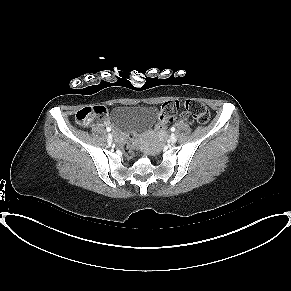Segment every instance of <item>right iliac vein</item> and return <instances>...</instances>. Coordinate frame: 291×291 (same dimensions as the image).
I'll return each mask as SVG.
<instances>
[{
    "mask_svg": "<svg viewBox=\"0 0 291 291\" xmlns=\"http://www.w3.org/2000/svg\"><path fill=\"white\" fill-rule=\"evenodd\" d=\"M107 141H108L109 143L112 142V136H111V134L108 135V137H107Z\"/></svg>",
    "mask_w": 291,
    "mask_h": 291,
    "instance_id": "obj_1",
    "label": "right iliac vein"
}]
</instances>
